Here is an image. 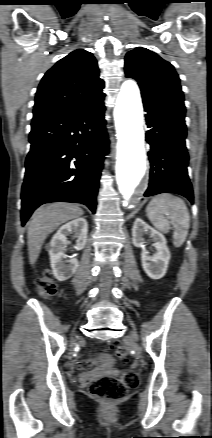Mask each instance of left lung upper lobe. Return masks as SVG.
I'll return each instance as SVG.
<instances>
[{"mask_svg":"<svg viewBox=\"0 0 212 438\" xmlns=\"http://www.w3.org/2000/svg\"><path fill=\"white\" fill-rule=\"evenodd\" d=\"M125 74L138 82L143 101L185 113L178 74L156 53L142 47L129 51L125 57Z\"/></svg>","mask_w":212,"mask_h":438,"instance_id":"5c2ea615","label":"left lung upper lobe"}]
</instances>
